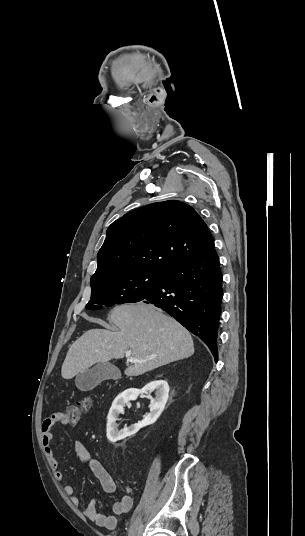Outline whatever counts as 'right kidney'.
<instances>
[{"label":"right kidney","instance_id":"1","mask_svg":"<svg viewBox=\"0 0 305 536\" xmlns=\"http://www.w3.org/2000/svg\"><path fill=\"white\" fill-rule=\"evenodd\" d=\"M137 392L138 390H125V392H122V394H119V396L115 398L112 404V408H110L109 414L107 416V438L108 440H110V442H118V440H124V438H127V436H132L134 430H128V428H124V430H121V432H119L118 424H116V422L118 420L119 414L123 412L125 404H128L129 400H131V398H134ZM142 392H155L156 398H151V396H149V400H151V404L149 406L150 414L146 416L143 422H140L139 428H142V426H150V424H154L157 418L161 416L165 408V404L168 400L169 386L167 382H165V380H154V382L146 384Z\"/></svg>","mask_w":305,"mask_h":536}]
</instances>
